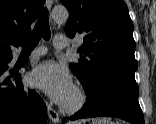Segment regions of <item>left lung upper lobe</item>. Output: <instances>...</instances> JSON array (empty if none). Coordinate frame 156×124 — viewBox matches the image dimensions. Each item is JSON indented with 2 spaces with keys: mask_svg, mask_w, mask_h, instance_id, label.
<instances>
[{
  "mask_svg": "<svg viewBox=\"0 0 156 124\" xmlns=\"http://www.w3.org/2000/svg\"><path fill=\"white\" fill-rule=\"evenodd\" d=\"M69 11L67 36L81 35V55L70 68L88 94L101 84L120 81L138 88L134 73L133 23L123 0H61Z\"/></svg>",
  "mask_w": 156,
  "mask_h": 124,
  "instance_id": "obj_1",
  "label": "left lung upper lobe"
}]
</instances>
